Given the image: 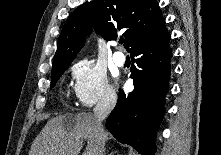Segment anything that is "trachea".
<instances>
[{
  "label": "trachea",
  "mask_w": 221,
  "mask_h": 155,
  "mask_svg": "<svg viewBox=\"0 0 221 155\" xmlns=\"http://www.w3.org/2000/svg\"><path fill=\"white\" fill-rule=\"evenodd\" d=\"M123 42H124V40H123V39H121V40L119 41V43H120V44H123Z\"/></svg>",
  "instance_id": "3493384b"
}]
</instances>
